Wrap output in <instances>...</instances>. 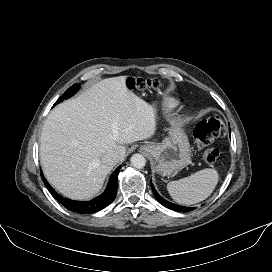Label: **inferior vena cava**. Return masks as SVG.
Wrapping results in <instances>:
<instances>
[{
    "instance_id": "602c4592",
    "label": "inferior vena cava",
    "mask_w": 272,
    "mask_h": 272,
    "mask_svg": "<svg viewBox=\"0 0 272 272\" xmlns=\"http://www.w3.org/2000/svg\"><path fill=\"white\" fill-rule=\"evenodd\" d=\"M102 161L109 165H116L120 161V154L117 150H110L104 154Z\"/></svg>"
}]
</instances>
